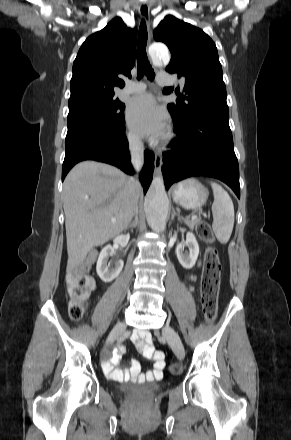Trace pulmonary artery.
Wrapping results in <instances>:
<instances>
[{"mask_svg":"<svg viewBox=\"0 0 291 440\" xmlns=\"http://www.w3.org/2000/svg\"><path fill=\"white\" fill-rule=\"evenodd\" d=\"M156 81L161 86H169L173 82V74L160 73L158 74ZM146 85L141 81H131L123 89L125 94H137L144 91Z\"/></svg>","mask_w":291,"mask_h":440,"instance_id":"e3ab8cb5","label":"pulmonary artery"}]
</instances>
